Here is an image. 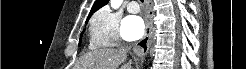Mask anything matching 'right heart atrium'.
I'll return each mask as SVG.
<instances>
[{
  "label": "right heart atrium",
  "mask_w": 246,
  "mask_h": 69,
  "mask_svg": "<svg viewBox=\"0 0 246 69\" xmlns=\"http://www.w3.org/2000/svg\"><path fill=\"white\" fill-rule=\"evenodd\" d=\"M90 46L93 48L112 47L120 42V16L103 7L91 18L89 29Z\"/></svg>",
  "instance_id": "1"
}]
</instances>
